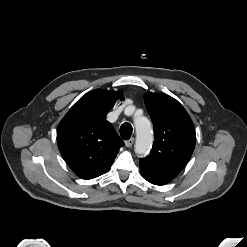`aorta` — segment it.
Segmentation results:
<instances>
[{
	"label": "aorta",
	"mask_w": 247,
	"mask_h": 247,
	"mask_svg": "<svg viewBox=\"0 0 247 247\" xmlns=\"http://www.w3.org/2000/svg\"><path fill=\"white\" fill-rule=\"evenodd\" d=\"M136 129L135 152L140 155H146L153 142V131L150 121L144 116L134 118Z\"/></svg>",
	"instance_id": "1"
}]
</instances>
